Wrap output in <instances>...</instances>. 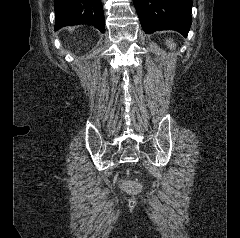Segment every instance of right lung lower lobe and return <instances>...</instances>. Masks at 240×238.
I'll use <instances>...</instances> for the list:
<instances>
[{
    "mask_svg": "<svg viewBox=\"0 0 240 238\" xmlns=\"http://www.w3.org/2000/svg\"><path fill=\"white\" fill-rule=\"evenodd\" d=\"M55 30L65 26L90 24L104 31L101 0H54Z\"/></svg>",
    "mask_w": 240,
    "mask_h": 238,
    "instance_id": "obj_1",
    "label": "right lung lower lobe"
}]
</instances>
